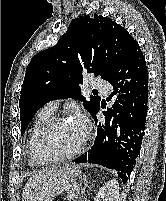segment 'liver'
<instances>
[{
	"label": "liver",
	"instance_id": "liver-1",
	"mask_svg": "<svg viewBox=\"0 0 166 201\" xmlns=\"http://www.w3.org/2000/svg\"><path fill=\"white\" fill-rule=\"evenodd\" d=\"M57 168H52L48 171H42L34 174L29 180L26 182L25 187L23 189V201H30L32 199L34 190L45 181L46 178L51 176Z\"/></svg>",
	"mask_w": 166,
	"mask_h": 201
}]
</instances>
